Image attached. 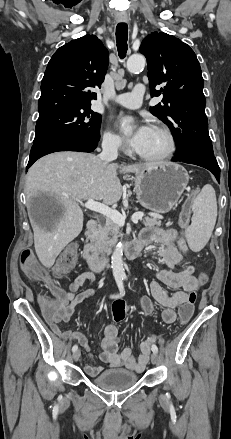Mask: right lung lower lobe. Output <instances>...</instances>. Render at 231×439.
<instances>
[{
	"instance_id": "1",
	"label": "right lung lower lobe",
	"mask_w": 231,
	"mask_h": 439,
	"mask_svg": "<svg viewBox=\"0 0 231 439\" xmlns=\"http://www.w3.org/2000/svg\"><path fill=\"white\" fill-rule=\"evenodd\" d=\"M98 141L82 140L75 138L55 139L38 144H33L28 169L40 157L57 151L92 152L97 147Z\"/></svg>"
}]
</instances>
